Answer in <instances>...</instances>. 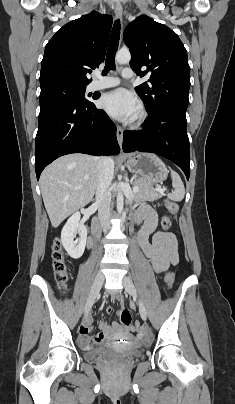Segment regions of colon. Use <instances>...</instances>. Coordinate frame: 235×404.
Wrapping results in <instances>:
<instances>
[{"label":"colon","mask_w":235,"mask_h":404,"mask_svg":"<svg viewBox=\"0 0 235 404\" xmlns=\"http://www.w3.org/2000/svg\"><path fill=\"white\" fill-rule=\"evenodd\" d=\"M166 205L169 208L171 213H176L178 210V206L176 203L172 201H166ZM170 219L169 217H164L162 220L163 229H168L170 227ZM53 269L55 274V279L58 283L60 289L64 290L66 288L67 281L69 279L68 266L65 259L64 250L61 246L59 240L54 242L53 246ZM174 283V272L168 271L166 274V284L167 287L170 288ZM121 322L127 326L131 327L133 330L138 328V324H132L131 314L128 310H123L121 313Z\"/></svg>","instance_id":"5ec220e1"}]
</instances>
